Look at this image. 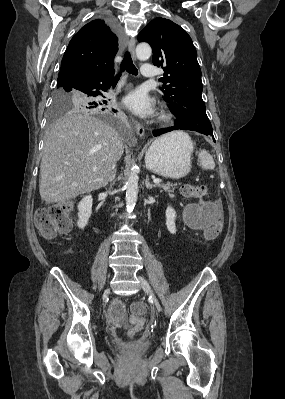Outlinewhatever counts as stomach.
I'll return each instance as SVG.
<instances>
[{"instance_id":"stomach-1","label":"stomach","mask_w":285,"mask_h":399,"mask_svg":"<svg viewBox=\"0 0 285 399\" xmlns=\"http://www.w3.org/2000/svg\"><path fill=\"white\" fill-rule=\"evenodd\" d=\"M193 143L181 131L169 133L155 140L145 155L148 170L169 178L187 175L191 166Z\"/></svg>"}]
</instances>
